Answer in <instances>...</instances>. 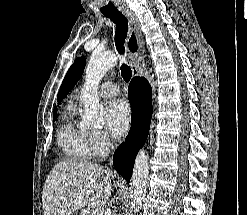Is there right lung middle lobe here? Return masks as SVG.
Here are the masks:
<instances>
[{"label": "right lung middle lobe", "instance_id": "obj_1", "mask_svg": "<svg viewBox=\"0 0 247 215\" xmlns=\"http://www.w3.org/2000/svg\"><path fill=\"white\" fill-rule=\"evenodd\" d=\"M56 117H57V113H55L53 116L54 120H56Z\"/></svg>", "mask_w": 247, "mask_h": 215}]
</instances>
